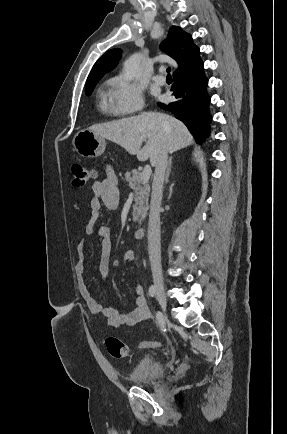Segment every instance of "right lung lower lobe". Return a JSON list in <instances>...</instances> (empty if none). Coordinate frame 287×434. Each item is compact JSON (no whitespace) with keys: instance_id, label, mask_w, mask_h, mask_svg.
<instances>
[{"instance_id":"obj_1","label":"right lung lower lobe","mask_w":287,"mask_h":434,"mask_svg":"<svg viewBox=\"0 0 287 434\" xmlns=\"http://www.w3.org/2000/svg\"><path fill=\"white\" fill-rule=\"evenodd\" d=\"M171 91L173 102L158 105L181 120L195 139L200 142L209 136L212 117L209 112L210 97L207 93L208 79L204 64L198 53L186 66L174 75Z\"/></svg>"}]
</instances>
